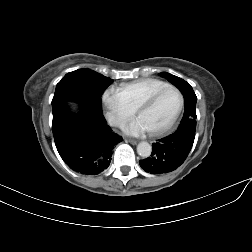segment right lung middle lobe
<instances>
[{"instance_id": "1", "label": "right lung middle lobe", "mask_w": 252, "mask_h": 252, "mask_svg": "<svg viewBox=\"0 0 252 252\" xmlns=\"http://www.w3.org/2000/svg\"><path fill=\"white\" fill-rule=\"evenodd\" d=\"M113 80L90 69H78L66 74L57 84L52 108L75 101L81 106L101 112V95Z\"/></svg>"}]
</instances>
